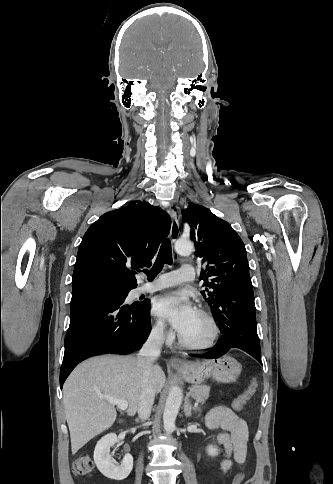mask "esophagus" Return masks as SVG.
Instances as JSON below:
<instances>
[{"label": "esophagus", "mask_w": 333, "mask_h": 484, "mask_svg": "<svg viewBox=\"0 0 333 484\" xmlns=\"http://www.w3.org/2000/svg\"><path fill=\"white\" fill-rule=\"evenodd\" d=\"M168 213L171 217L170 238L174 243L180 235V211L179 209L169 207ZM169 363L174 367H182L186 364L184 360L178 358L177 356H172L169 360Z\"/></svg>", "instance_id": "1"}]
</instances>
